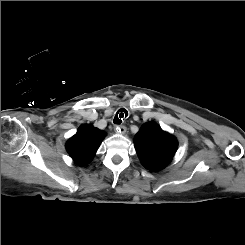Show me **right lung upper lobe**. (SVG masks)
Returning <instances> with one entry per match:
<instances>
[{
  "mask_svg": "<svg viewBox=\"0 0 245 245\" xmlns=\"http://www.w3.org/2000/svg\"><path fill=\"white\" fill-rule=\"evenodd\" d=\"M105 135L92 125H81L66 143V149L79 166H84L93 159Z\"/></svg>",
  "mask_w": 245,
  "mask_h": 245,
  "instance_id": "right-lung-upper-lobe-1",
  "label": "right lung upper lobe"
}]
</instances>
